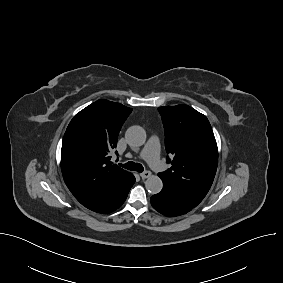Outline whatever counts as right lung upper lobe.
I'll use <instances>...</instances> for the list:
<instances>
[{
  "mask_svg": "<svg viewBox=\"0 0 283 283\" xmlns=\"http://www.w3.org/2000/svg\"><path fill=\"white\" fill-rule=\"evenodd\" d=\"M131 112L132 108L101 99L77 113L64 134V181L74 197L92 211L108 205L131 180L132 174L112 165L109 155Z\"/></svg>",
  "mask_w": 283,
  "mask_h": 283,
  "instance_id": "cb5924a9",
  "label": "right lung upper lobe"
}]
</instances>
